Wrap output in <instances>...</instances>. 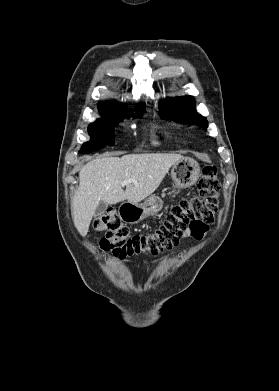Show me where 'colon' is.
<instances>
[{
	"instance_id": "obj_1",
	"label": "colon",
	"mask_w": 279,
	"mask_h": 391,
	"mask_svg": "<svg viewBox=\"0 0 279 391\" xmlns=\"http://www.w3.org/2000/svg\"><path fill=\"white\" fill-rule=\"evenodd\" d=\"M219 191L216 167L205 164L198 182V195L174 205L159 228L145 234H132L115 209L109 208L93 222L94 230L105 234L100 242L101 248L114 257L126 259L172 249L187 230L193 238L201 239L218 212Z\"/></svg>"
}]
</instances>
